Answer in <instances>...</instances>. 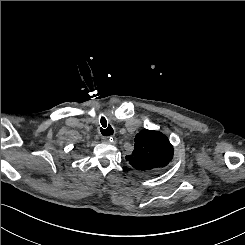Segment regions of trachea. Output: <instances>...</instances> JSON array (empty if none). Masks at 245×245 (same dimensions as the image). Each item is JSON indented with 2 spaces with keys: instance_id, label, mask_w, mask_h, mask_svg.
<instances>
[{
  "instance_id": "trachea-1",
  "label": "trachea",
  "mask_w": 245,
  "mask_h": 245,
  "mask_svg": "<svg viewBox=\"0 0 245 245\" xmlns=\"http://www.w3.org/2000/svg\"><path fill=\"white\" fill-rule=\"evenodd\" d=\"M100 124V132L103 136H111L114 133L113 128L107 123L104 117H101Z\"/></svg>"
}]
</instances>
